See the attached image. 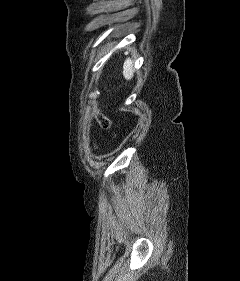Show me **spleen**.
<instances>
[{
    "instance_id": "spleen-1",
    "label": "spleen",
    "mask_w": 240,
    "mask_h": 281,
    "mask_svg": "<svg viewBox=\"0 0 240 281\" xmlns=\"http://www.w3.org/2000/svg\"><path fill=\"white\" fill-rule=\"evenodd\" d=\"M134 71H133V61L130 58H127L124 61L123 65V76L126 80H130L133 77Z\"/></svg>"
}]
</instances>
